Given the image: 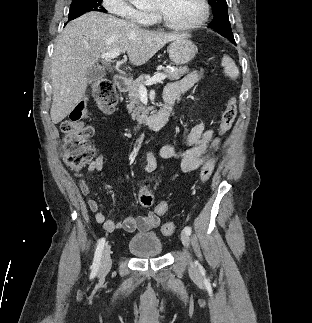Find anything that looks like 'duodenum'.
Segmentation results:
<instances>
[{
    "label": "duodenum",
    "mask_w": 312,
    "mask_h": 323,
    "mask_svg": "<svg viewBox=\"0 0 312 323\" xmlns=\"http://www.w3.org/2000/svg\"><path fill=\"white\" fill-rule=\"evenodd\" d=\"M115 85L118 90L124 91L129 85V77L125 74H118L115 78ZM165 106L155 114L143 117L135 122V126L140 130L157 131L167 126L171 121L172 102L165 99Z\"/></svg>",
    "instance_id": "obj_1"
}]
</instances>
